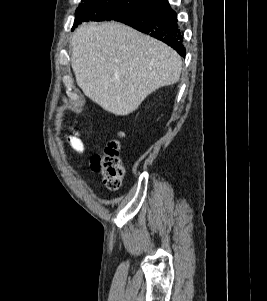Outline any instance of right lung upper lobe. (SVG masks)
Listing matches in <instances>:
<instances>
[{
    "mask_svg": "<svg viewBox=\"0 0 267 301\" xmlns=\"http://www.w3.org/2000/svg\"><path fill=\"white\" fill-rule=\"evenodd\" d=\"M149 2L150 5L155 4V3H159L162 0H147Z\"/></svg>",
    "mask_w": 267,
    "mask_h": 301,
    "instance_id": "cb5924a9",
    "label": "right lung upper lobe"
}]
</instances>
